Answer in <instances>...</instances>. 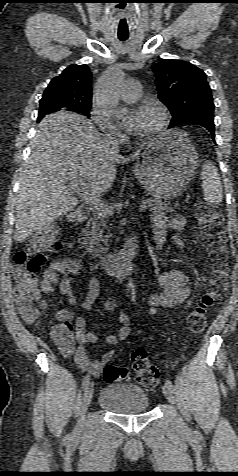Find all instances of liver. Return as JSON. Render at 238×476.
Masks as SVG:
<instances>
[{
	"instance_id": "obj_1",
	"label": "liver",
	"mask_w": 238,
	"mask_h": 476,
	"mask_svg": "<svg viewBox=\"0 0 238 476\" xmlns=\"http://www.w3.org/2000/svg\"><path fill=\"white\" fill-rule=\"evenodd\" d=\"M132 158L110 151L94 124L81 115L61 111L45 116L22 167L15 242L75 209L79 201L68 180H85L92 192L103 195L114 183L116 165Z\"/></svg>"
}]
</instances>
